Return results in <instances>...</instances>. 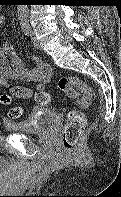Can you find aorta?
<instances>
[{
    "label": "aorta",
    "mask_w": 121,
    "mask_h": 197,
    "mask_svg": "<svg viewBox=\"0 0 121 197\" xmlns=\"http://www.w3.org/2000/svg\"><path fill=\"white\" fill-rule=\"evenodd\" d=\"M17 10H18V17H19V19H27L28 18L27 5H19Z\"/></svg>",
    "instance_id": "obj_1"
}]
</instances>
